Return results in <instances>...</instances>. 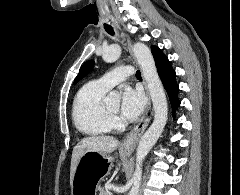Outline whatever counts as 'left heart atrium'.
<instances>
[{
  "instance_id": "39dd6f15",
  "label": "left heart atrium",
  "mask_w": 240,
  "mask_h": 195,
  "mask_svg": "<svg viewBox=\"0 0 240 195\" xmlns=\"http://www.w3.org/2000/svg\"><path fill=\"white\" fill-rule=\"evenodd\" d=\"M145 99L142 92L127 88L122 96L121 113L129 120H136L144 109Z\"/></svg>"
}]
</instances>
